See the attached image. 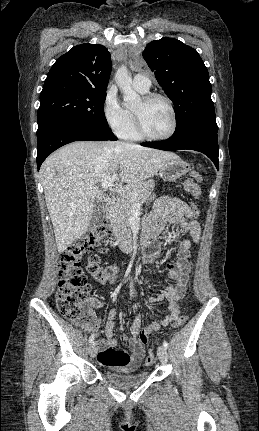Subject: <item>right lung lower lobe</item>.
I'll return each mask as SVG.
<instances>
[{"mask_svg":"<svg viewBox=\"0 0 259 431\" xmlns=\"http://www.w3.org/2000/svg\"><path fill=\"white\" fill-rule=\"evenodd\" d=\"M37 167L53 151L74 141L116 140L108 126H98L75 119H57L46 123L37 131Z\"/></svg>","mask_w":259,"mask_h":431,"instance_id":"right-lung-lower-lobe-1","label":"right lung lower lobe"}]
</instances>
